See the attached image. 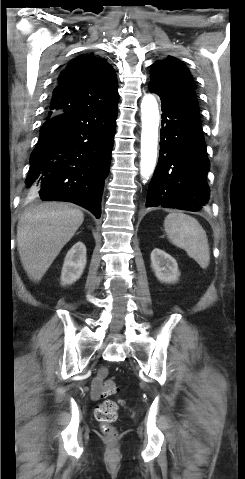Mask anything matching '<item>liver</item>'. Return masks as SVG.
<instances>
[{"mask_svg":"<svg viewBox=\"0 0 245 479\" xmlns=\"http://www.w3.org/2000/svg\"><path fill=\"white\" fill-rule=\"evenodd\" d=\"M83 221L82 211L65 203H43L25 210L17 225V248L30 279H42Z\"/></svg>","mask_w":245,"mask_h":479,"instance_id":"liver-1","label":"liver"}]
</instances>
